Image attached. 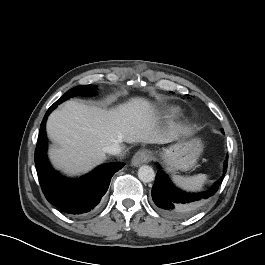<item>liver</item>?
<instances>
[{
	"label": "liver",
	"mask_w": 265,
	"mask_h": 265,
	"mask_svg": "<svg viewBox=\"0 0 265 265\" xmlns=\"http://www.w3.org/2000/svg\"><path fill=\"white\" fill-rule=\"evenodd\" d=\"M156 125L152 104L144 98L110 110L67 101L47 121V134L58 145L49 149V158L69 175L86 173L105 160L104 149L113 143L170 142Z\"/></svg>",
	"instance_id": "obj_1"
}]
</instances>
